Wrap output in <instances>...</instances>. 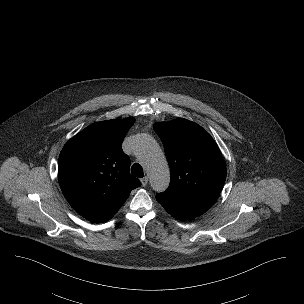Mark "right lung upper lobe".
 I'll return each instance as SVG.
<instances>
[{
    "label": "right lung upper lobe",
    "instance_id": "cb5924a9",
    "mask_svg": "<svg viewBox=\"0 0 304 304\" xmlns=\"http://www.w3.org/2000/svg\"><path fill=\"white\" fill-rule=\"evenodd\" d=\"M134 118L94 123L70 139L58 162L61 190L84 218L95 222L111 219L140 181L129 173L130 158L122 142Z\"/></svg>",
    "mask_w": 304,
    "mask_h": 304
}]
</instances>
